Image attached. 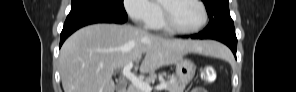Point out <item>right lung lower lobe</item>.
<instances>
[{"instance_id":"98d812e1","label":"right lung lower lobe","mask_w":296,"mask_h":92,"mask_svg":"<svg viewBox=\"0 0 296 92\" xmlns=\"http://www.w3.org/2000/svg\"><path fill=\"white\" fill-rule=\"evenodd\" d=\"M127 21V15H120L99 8H77L70 11L60 35V47L65 39L77 29L94 23H118Z\"/></svg>"}]
</instances>
